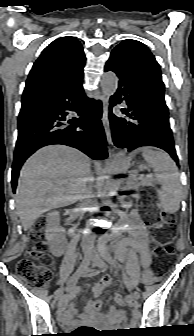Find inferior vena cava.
<instances>
[{"mask_svg": "<svg viewBox=\"0 0 194 336\" xmlns=\"http://www.w3.org/2000/svg\"><path fill=\"white\" fill-rule=\"evenodd\" d=\"M92 167L90 168L92 171L95 169L94 167L96 166L94 163L91 165ZM90 194H91V190H86V195L84 196V200L83 202L86 204V205H91L93 204V201L91 200L90 198Z\"/></svg>", "mask_w": 194, "mask_h": 336, "instance_id": "602c4592", "label": "inferior vena cava"}]
</instances>
